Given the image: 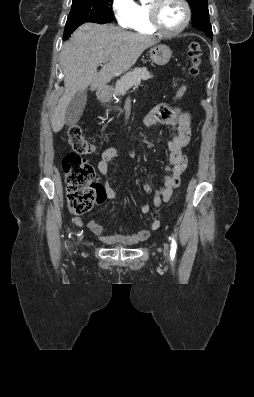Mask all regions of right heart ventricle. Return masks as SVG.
<instances>
[{
	"mask_svg": "<svg viewBox=\"0 0 254 397\" xmlns=\"http://www.w3.org/2000/svg\"><path fill=\"white\" fill-rule=\"evenodd\" d=\"M130 28L143 35H154L156 32L151 27L149 20V5L146 3H135V13Z\"/></svg>",
	"mask_w": 254,
	"mask_h": 397,
	"instance_id": "1",
	"label": "right heart ventricle"
}]
</instances>
